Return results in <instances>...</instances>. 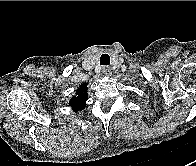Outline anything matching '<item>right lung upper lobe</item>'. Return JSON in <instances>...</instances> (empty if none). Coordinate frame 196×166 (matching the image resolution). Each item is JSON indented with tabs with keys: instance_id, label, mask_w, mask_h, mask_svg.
<instances>
[{
	"instance_id": "obj_1",
	"label": "right lung upper lobe",
	"mask_w": 196,
	"mask_h": 166,
	"mask_svg": "<svg viewBox=\"0 0 196 166\" xmlns=\"http://www.w3.org/2000/svg\"><path fill=\"white\" fill-rule=\"evenodd\" d=\"M87 100V83H83L76 91V96L72 97L69 105L74 111L82 110L86 105Z\"/></svg>"
}]
</instances>
